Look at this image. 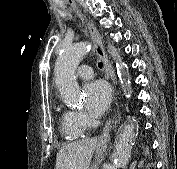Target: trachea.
<instances>
[{
	"mask_svg": "<svg viewBox=\"0 0 177 169\" xmlns=\"http://www.w3.org/2000/svg\"><path fill=\"white\" fill-rule=\"evenodd\" d=\"M98 67H99V68H102V67H103V63H102V62H99V63H98Z\"/></svg>",
	"mask_w": 177,
	"mask_h": 169,
	"instance_id": "obj_1",
	"label": "trachea"
}]
</instances>
